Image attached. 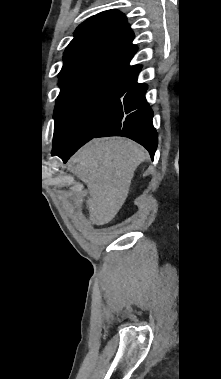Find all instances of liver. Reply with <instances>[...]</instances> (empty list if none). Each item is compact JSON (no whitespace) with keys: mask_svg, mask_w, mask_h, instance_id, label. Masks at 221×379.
Returning a JSON list of instances; mask_svg holds the SVG:
<instances>
[{"mask_svg":"<svg viewBox=\"0 0 221 379\" xmlns=\"http://www.w3.org/2000/svg\"><path fill=\"white\" fill-rule=\"evenodd\" d=\"M146 159L145 150L126 138H97L79 149L69 161V169L90 192L86 201L89 219L103 225L122 207L134 172Z\"/></svg>","mask_w":221,"mask_h":379,"instance_id":"obj_1","label":"liver"}]
</instances>
